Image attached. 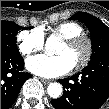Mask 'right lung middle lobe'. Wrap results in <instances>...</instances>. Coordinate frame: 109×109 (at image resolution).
<instances>
[{"label":"right lung middle lobe","mask_w":109,"mask_h":109,"mask_svg":"<svg viewBox=\"0 0 109 109\" xmlns=\"http://www.w3.org/2000/svg\"><path fill=\"white\" fill-rule=\"evenodd\" d=\"M30 28L21 27L9 21H1V53L20 54L16 45V34L20 29Z\"/></svg>","instance_id":"dd1d6c3e"}]
</instances>
